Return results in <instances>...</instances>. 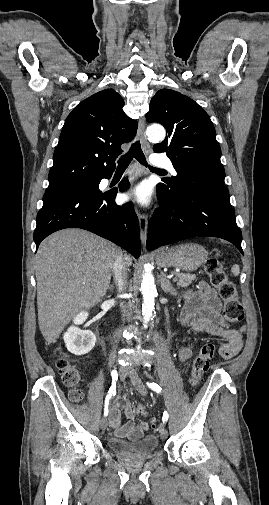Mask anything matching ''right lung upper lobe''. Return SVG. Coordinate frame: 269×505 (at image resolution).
Listing matches in <instances>:
<instances>
[{
    "mask_svg": "<svg viewBox=\"0 0 269 505\" xmlns=\"http://www.w3.org/2000/svg\"><path fill=\"white\" fill-rule=\"evenodd\" d=\"M124 100L113 89L80 102L68 115L53 155L47 191L112 174L121 144L136 135L138 123L123 111Z\"/></svg>",
    "mask_w": 269,
    "mask_h": 505,
    "instance_id": "1",
    "label": "right lung upper lobe"
}]
</instances>
